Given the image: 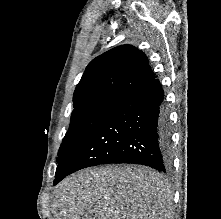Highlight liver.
Wrapping results in <instances>:
<instances>
[{
	"mask_svg": "<svg viewBox=\"0 0 221 219\" xmlns=\"http://www.w3.org/2000/svg\"><path fill=\"white\" fill-rule=\"evenodd\" d=\"M173 194L150 168L105 166L84 169L55 189L53 219H171Z\"/></svg>",
	"mask_w": 221,
	"mask_h": 219,
	"instance_id": "1",
	"label": "liver"
}]
</instances>
